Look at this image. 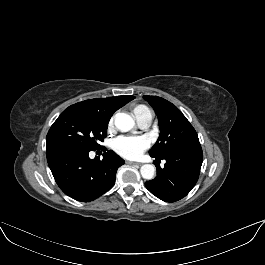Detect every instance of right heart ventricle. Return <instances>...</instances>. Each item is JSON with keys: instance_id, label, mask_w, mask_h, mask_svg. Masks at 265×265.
<instances>
[{"instance_id": "1", "label": "right heart ventricle", "mask_w": 265, "mask_h": 265, "mask_svg": "<svg viewBox=\"0 0 265 265\" xmlns=\"http://www.w3.org/2000/svg\"><path fill=\"white\" fill-rule=\"evenodd\" d=\"M131 111L137 121L146 117H150L152 119V113L145 105H134Z\"/></svg>"}]
</instances>
